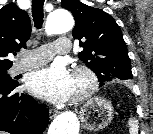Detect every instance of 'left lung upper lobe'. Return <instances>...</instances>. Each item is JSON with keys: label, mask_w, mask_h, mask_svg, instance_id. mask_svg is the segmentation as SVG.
I'll use <instances>...</instances> for the list:
<instances>
[{"label": "left lung upper lobe", "mask_w": 153, "mask_h": 134, "mask_svg": "<svg viewBox=\"0 0 153 134\" xmlns=\"http://www.w3.org/2000/svg\"><path fill=\"white\" fill-rule=\"evenodd\" d=\"M61 6L74 16L72 35L84 48L78 56L96 73L100 86L118 79H132L126 43L115 20L103 10L78 0H62Z\"/></svg>", "instance_id": "obj_1"}]
</instances>
